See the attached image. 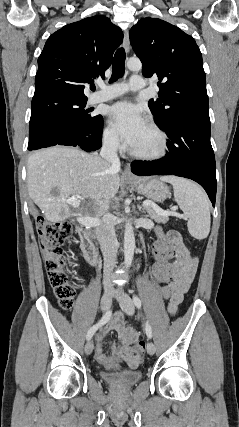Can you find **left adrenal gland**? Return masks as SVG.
<instances>
[{
    "instance_id": "left-adrenal-gland-1",
    "label": "left adrenal gland",
    "mask_w": 239,
    "mask_h": 427,
    "mask_svg": "<svg viewBox=\"0 0 239 427\" xmlns=\"http://www.w3.org/2000/svg\"><path fill=\"white\" fill-rule=\"evenodd\" d=\"M137 208H138V210H139V211H141V212H143V213H144V211H142V206L137 205Z\"/></svg>"
}]
</instances>
